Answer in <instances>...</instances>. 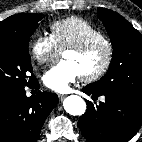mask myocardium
Here are the masks:
<instances>
[{"mask_svg": "<svg viewBox=\"0 0 142 142\" xmlns=\"http://www.w3.org/2000/svg\"><path fill=\"white\" fill-rule=\"evenodd\" d=\"M99 46L104 47V49L106 51L105 60L102 64V66L98 70H96L95 72L90 73V74H86V75H82V79L85 82L97 81V80L101 79L108 72V70L111 67V64L113 61V56H114V49H113L112 44L110 43V41L108 39H90L85 42L69 46L64 49V52L65 51H74L79 54H84V53H87Z\"/></svg>", "mask_w": 142, "mask_h": 142, "instance_id": "f54148a6", "label": "myocardium"}]
</instances>
